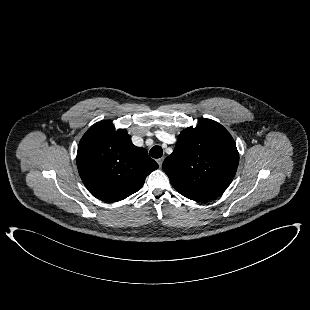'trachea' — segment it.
Wrapping results in <instances>:
<instances>
[{
    "label": "trachea",
    "mask_w": 310,
    "mask_h": 310,
    "mask_svg": "<svg viewBox=\"0 0 310 310\" xmlns=\"http://www.w3.org/2000/svg\"><path fill=\"white\" fill-rule=\"evenodd\" d=\"M149 154L153 158H160L163 155V150L160 146H154L151 148Z\"/></svg>",
    "instance_id": "3493384b"
}]
</instances>
